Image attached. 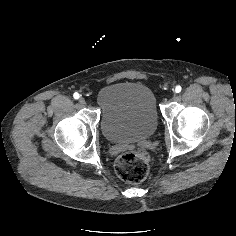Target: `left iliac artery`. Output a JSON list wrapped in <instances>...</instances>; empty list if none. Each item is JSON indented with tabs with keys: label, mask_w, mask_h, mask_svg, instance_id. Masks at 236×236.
I'll list each match as a JSON object with an SVG mask.
<instances>
[{
	"label": "left iliac artery",
	"mask_w": 236,
	"mask_h": 236,
	"mask_svg": "<svg viewBox=\"0 0 236 236\" xmlns=\"http://www.w3.org/2000/svg\"><path fill=\"white\" fill-rule=\"evenodd\" d=\"M181 90H182V88H181V86H176V88H175V92L176 93H179V92H181Z\"/></svg>",
	"instance_id": "1"
}]
</instances>
